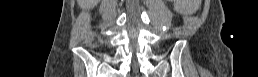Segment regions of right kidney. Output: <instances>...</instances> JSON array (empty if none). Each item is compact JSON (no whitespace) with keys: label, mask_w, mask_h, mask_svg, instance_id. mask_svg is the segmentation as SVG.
Wrapping results in <instances>:
<instances>
[{"label":"right kidney","mask_w":258,"mask_h":77,"mask_svg":"<svg viewBox=\"0 0 258 77\" xmlns=\"http://www.w3.org/2000/svg\"><path fill=\"white\" fill-rule=\"evenodd\" d=\"M92 4H96L98 0H91Z\"/></svg>","instance_id":"ca27d5eb"}]
</instances>
